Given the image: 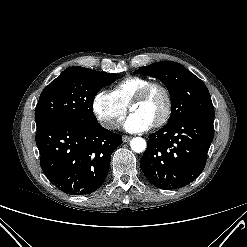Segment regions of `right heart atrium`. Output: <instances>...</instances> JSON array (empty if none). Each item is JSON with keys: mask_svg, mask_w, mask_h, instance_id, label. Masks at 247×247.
<instances>
[{"mask_svg": "<svg viewBox=\"0 0 247 247\" xmlns=\"http://www.w3.org/2000/svg\"><path fill=\"white\" fill-rule=\"evenodd\" d=\"M92 110L98 122L112 130L125 117L127 107L119 103L111 92L99 90L93 97Z\"/></svg>", "mask_w": 247, "mask_h": 247, "instance_id": "obj_1", "label": "right heart atrium"}]
</instances>
